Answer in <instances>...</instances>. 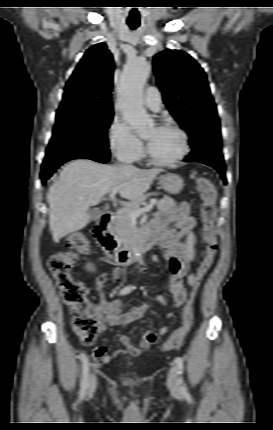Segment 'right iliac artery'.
Returning a JSON list of instances; mask_svg holds the SVG:
<instances>
[{
    "mask_svg": "<svg viewBox=\"0 0 273 430\" xmlns=\"http://www.w3.org/2000/svg\"><path fill=\"white\" fill-rule=\"evenodd\" d=\"M134 289L133 286H127L120 291V295H126ZM82 379H81V390L80 395L83 397L86 394L88 384H89V362L87 356L82 353Z\"/></svg>",
    "mask_w": 273,
    "mask_h": 430,
    "instance_id": "1",
    "label": "right iliac artery"
}]
</instances>
